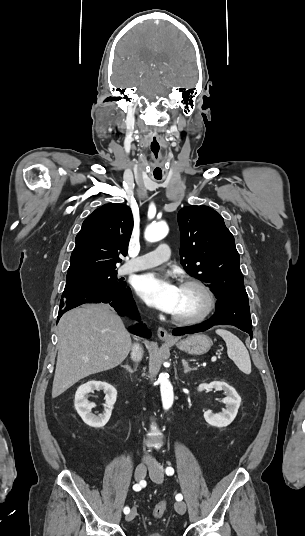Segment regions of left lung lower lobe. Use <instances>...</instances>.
Returning <instances> with one entry per match:
<instances>
[{
  "label": "left lung lower lobe",
  "instance_id": "1",
  "mask_svg": "<svg viewBox=\"0 0 305 536\" xmlns=\"http://www.w3.org/2000/svg\"><path fill=\"white\" fill-rule=\"evenodd\" d=\"M214 325H234L247 332L252 338V322L248 297H229L219 299L215 314L206 322L189 327L175 328L173 335H184L201 332Z\"/></svg>",
  "mask_w": 305,
  "mask_h": 536
}]
</instances>
